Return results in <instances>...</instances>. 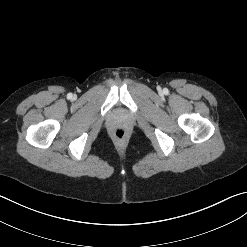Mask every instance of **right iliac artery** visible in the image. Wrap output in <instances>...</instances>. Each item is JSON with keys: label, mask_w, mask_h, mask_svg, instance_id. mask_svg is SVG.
I'll return each mask as SVG.
<instances>
[{"label": "right iliac artery", "mask_w": 247, "mask_h": 247, "mask_svg": "<svg viewBox=\"0 0 247 247\" xmlns=\"http://www.w3.org/2000/svg\"><path fill=\"white\" fill-rule=\"evenodd\" d=\"M71 96H72V94H71V93H69V94H68V97L70 98Z\"/></svg>", "instance_id": "obj_1"}]
</instances>
